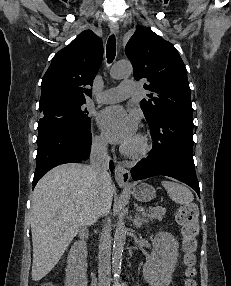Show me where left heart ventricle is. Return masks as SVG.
<instances>
[{
  "mask_svg": "<svg viewBox=\"0 0 231 286\" xmlns=\"http://www.w3.org/2000/svg\"><path fill=\"white\" fill-rule=\"evenodd\" d=\"M137 145H138V139H137V136H136V138L127 147L135 148V147H137Z\"/></svg>",
  "mask_w": 231,
  "mask_h": 286,
  "instance_id": "b2bd125f",
  "label": "left heart ventricle"
}]
</instances>
